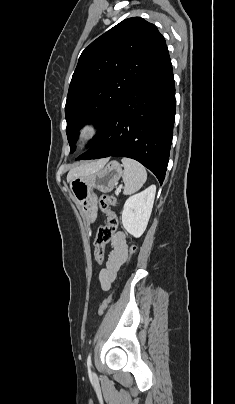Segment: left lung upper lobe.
Wrapping results in <instances>:
<instances>
[{"label": "left lung upper lobe", "instance_id": "obj_1", "mask_svg": "<svg viewBox=\"0 0 235 404\" xmlns=\"http://www.w3.org/2000/svg\"><path fill=\"white\" fill-rule=\"evenodd\" d=\"M166 51L165 39L156 26L140 17L123 20L85 48L65 106L70 153L75 151L80 128L93 122L100 134L134 86Z\"/></svg>", "mask_w": 235, "mask_h": 404}]
</instances>
